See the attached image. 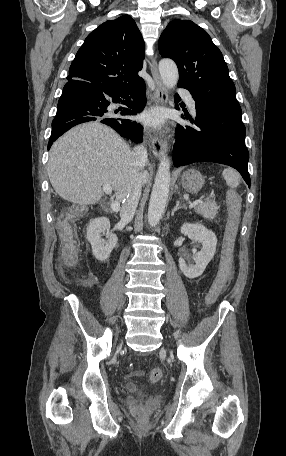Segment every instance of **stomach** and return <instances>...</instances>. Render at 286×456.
<instances>
[{"label":"stomach","mask_w":286,"mask_h":456,"mask_svg":"<svg viewBox=\"0 0 286 456\" xmlns=\"http://www.w3.org/2000/svg\"><path fill=\"white\" fill-rule=\"evenodd\" d=\"M182 187L189 193H198L204 185V178L195 169L185 171L181 176Z\"/></svg>","instance_id":"stomach-1"}]
</instances>
